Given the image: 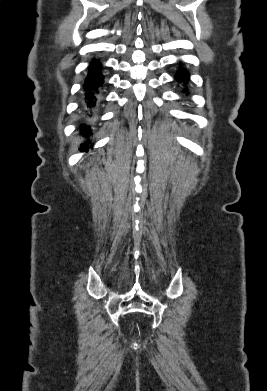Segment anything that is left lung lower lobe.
<instances>
[{"mask_svg":"<svg viewBox=\"0 0 267 391\" xmlns=\"http://www.w3.org/2000/svg\"><path fill=\"white\" fill-rule=\"evenodd\" d=\"M188 77H189V74L187 71L185 70H180L175 78L178 80V81H183V82H186L188 80Z\"/></svg>","mask_w":267,"mask_h":391,"instance_id":"obj_1","label":"left lung lower lobe"}]
</instances>
